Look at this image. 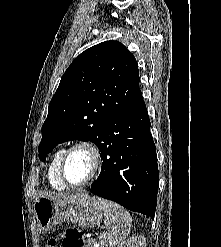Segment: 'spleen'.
Listing matches in <instances>:
<instances>
[{"mask_svg": "<svg viewBox=\"0 0 221 247\" xmlns=\"http://www.w3.org/2000/svg\"><path fill=\"white\" fill-rule=\"evenodd\" d=\"M104 224L107 232L100 237L101 246H119L128 236L132 218L120 205L106 201L103 204Z\"/></svg>", "mask_w": 221, "mask_h": 247, "instance_id": "spleen-1", "label": "spleen"}]
</instances>
